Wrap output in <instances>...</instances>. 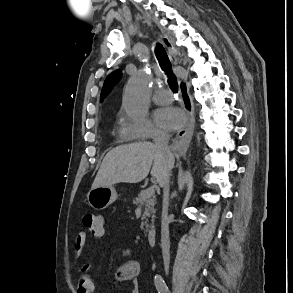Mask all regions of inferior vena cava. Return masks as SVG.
<instances>
[{
    "mask_svg": "<svg viewBox=\"0 0 293 293\" xmlns=\"http://www.w3.org/2000/svg\"><path fill=\"white\" fill-rule=\"evenodd\" d=\"M169 135L164 132H159L155 135L154 142L157 149L166 155L169 159L172 158V153L170 152L169 146ZM170 174H166L160 186L163 188V211H162V225H161V246H162V255L165 269L169 268L170 260V239H169V219H168V206H169V179Z\"/></svg>",
    "mask_w": 293,
    "mask_h": 293,
    "instance_id": "602c4592",
    "label": "inferior vena cava"
}]
</instances>
